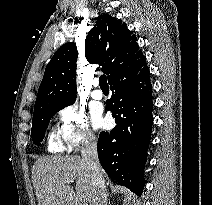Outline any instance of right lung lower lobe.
<instances>
[{"label":"right lung lower lobe","mask_w":212,"mask_h":205,"mask_svg":"<svg viewBox=\"0 0 212 205\" xmlns=\"http://www.w3.org/2000/svg\"><path fill=\"white\" fill-rule=\"evenodd\" d=\"M108 81L112 96L107 110H111L116 126L100 133L98 158L111 180L141 195L153 123L152 85L145 56L118 70Z\"/></svg>","instance_id":"right-lung-lower-lobe-1"}]
</instances>
